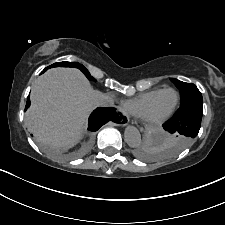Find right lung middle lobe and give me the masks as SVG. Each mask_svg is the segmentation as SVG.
I'll list each match as a JSON object with an SVG mask.
<instances>
[{"instance_id":"obj_1","label":"right lung middle lobe","mask_w":225,"mask_h":225,"mask_svg":"<svg viewBox=\"0 0 225 225\" xmlns=\"http://www.w3.org/2000/svg\"><path fill=\"white\" fill-rule=\"evenodd\" d=\"M52 67H75L80 69L89 80H95L83 65H80L79 63L76 62H57L49 66L48 68Z\"/></svg>"}]
</instances>
